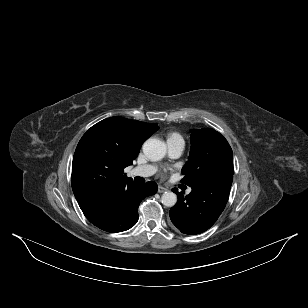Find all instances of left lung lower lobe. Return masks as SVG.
<instances>
[{
	"instance_id": "1",
	"label": "left lung lower lobe",
	"mask_w": 308,
	"mask_h": 308,
	"mask_svg": "<svg viewBox=\"0 0 308 308\" xmlns=\"http://www.w3.org/2000/svg\"><path fill=\"white\" fill-rule=\"evenodd\" d=\"M233 181L232 174H223L191 186L184 196L176 188L178 201L170 209L172 223L185 234H199L209 229L224 210Z\"/></svg>"
}]
</instances>
